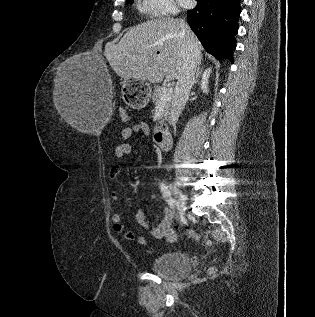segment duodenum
Instances as JSON below:
<instances>
[{"label": "duodenum", "mask_w": 315, "mask_h": 317, "mask_svg": "<svg viewBox=\"0 0 315 317\" xmlns=\"http://www.w3.org/2000/svg\"><path fill=\"white\" fill-rule=\"evenodd\" d=\"M156 144L163 150H169L171 147V137L168 132L158 129L154 134Z\"/></svg>", "instance_id": "1"}]
</instances>
